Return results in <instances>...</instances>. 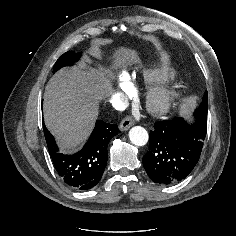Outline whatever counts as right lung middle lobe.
Here are the masks:
<instances>
[{"instance_id": "1", "label": "right lung middle lobe", "mask_w": 236, "mask_h": 236, "mask_svg": "<svg viewBox=\"0 0 236 236\" xmlns=\"http://www.w3.org/2000/svg\"><path fill=\"white\" fill-rule=\"evenodd\" d=\"M80 58V54H75L73 51H68L64 53L55 64V67L53 69V73H55L57 70L64 66H72L74 62L78 61Z\"/></svg>"}]
</instances>
